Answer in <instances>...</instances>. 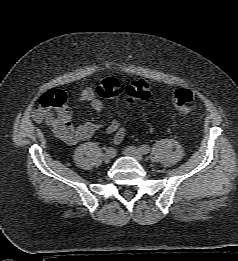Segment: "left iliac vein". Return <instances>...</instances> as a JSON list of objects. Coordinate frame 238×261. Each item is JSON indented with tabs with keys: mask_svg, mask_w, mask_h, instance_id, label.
Listing matches in <instances>:
<instances>
[{
	"mask_svg": "<svg viewBox=\"0 0 238 261\" xmlns=\"http://www.w3.org/2000/svg\"><path fill=\"white\" fill-rule=\"evenodd\" d=\"M123 153L127 156H131L137 161L141 162L143 160V154L139 149L133 146H128L124 149Z\"/></svg>",
	"mask_w": 238,
	"mask_h": 261,
	"instance_id": "1",
	"label": "left iliac vein"
}]
</instances>
